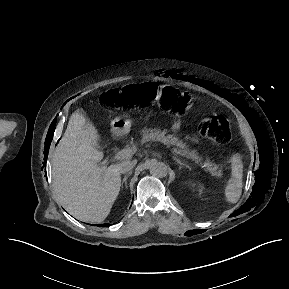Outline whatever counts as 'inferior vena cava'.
Masks as SVG:
<instances>
[{"label": "inferior vena cava", "instance_id": "602c4592", "mask_svg": "<svg viewBox=\"0 0 289 289\" xmlns=\"http://www.w3.org/2000/svg\"><path fill=\"white\" fill-rule=\"evenodd\" d=\"M137 160L126 159L117 165V168L120 173H129L132 172V169L136 165Z\"/></svg>", "mask_w": 289, "mask_h": 289}]
</instances>
